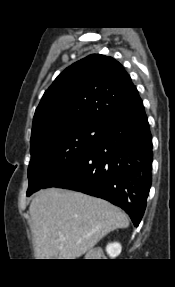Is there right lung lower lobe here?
<instances>
[{
    "mask_svg": "<svg viewBox=\"0 0 175 287\" xmlns=\"http://www.w3.org/2000/svg\"><path fill=\"white\" fill-rule=\"evenodd\" d=\"M152 161V136L142 105L109 123L86 156L42 188H66L108 200L137 227L151 186Z\"/></svg>",
    "mask_w": 175,
    "mask_h": 287,
    "instance_id": "right-lung-lower-lobe-1",
    "label": "right lung lower lobe"
}]
</instances>
